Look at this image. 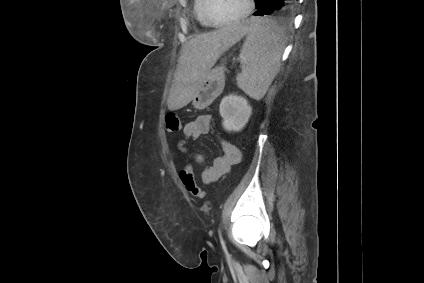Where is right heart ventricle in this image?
<instances>
[{
    "label": "right heart ventricle",
    "mask_w": 424,
    "mask_h": 283,
    "mask_svg": "<svg viewBox=\"0 0 424 283\" xmlns=\"http://www.w3.org/2000/svg\"><path fill=\"white\" fill-rule=\"evenodd\" d=\"M204 0H194L193 3V13L196 20L203 27H209V24L206 22L204 17Z\"/></svg>",
    "instance_id": "e07e8e85"
}]
</instances>
